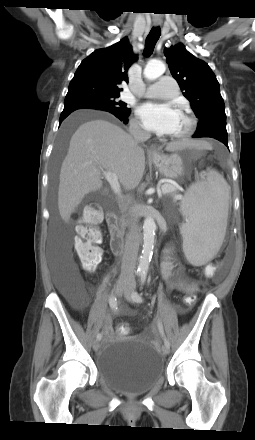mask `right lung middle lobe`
I'll list each match as a JSON object with an SVG mask.
<instances>
[{
    "mask_svg": "<svg viewBox=\"0 0 255 440\" xmlns=\"http://www.w3.org/2000/svg\"><path fill=\"white\" fill-rule=\"evenodd\" d=\"M119 96L120 94L90 93L78 97L65 98L64 106L71 104L98 105L120 113H130L126 103L117 100ZM65 138L66 134L62 136L61 145L65 143Z\"/></svg>",
    "mask_w": 255,
    "mask_h": 440,
    "instance_id": "right-lung-middle-lobe-1",
    "label": "right lung middle lobe"
}]
</instances>
